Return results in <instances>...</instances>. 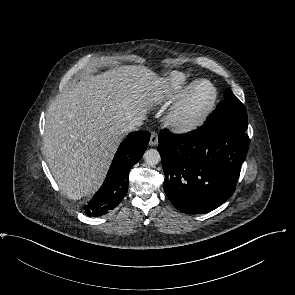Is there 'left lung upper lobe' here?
<instances>
[{
  "mask_svg": "<svg viewBox=\"0 0 295 295\" xmlns=\"http://www.w3.org/2000/svg\"><path fill=\"white\" fill-rule=\"evenodd\" d=\"M247 118L244 105L227 89L223 101L217 105L206 123L232 125L247 130Z\"/></svg>",
  "mask_w": 295,
  "mask_h": 295,
  "instance_id": "1",
  "label": "left lung upper lobe"
}]
</instances>
